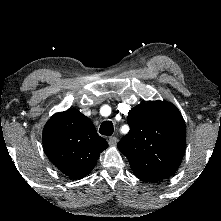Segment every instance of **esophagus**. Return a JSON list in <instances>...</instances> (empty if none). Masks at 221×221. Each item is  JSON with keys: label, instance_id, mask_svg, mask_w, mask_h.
Here are the masks:
<instances>
[{"label": "esophagus", "instance_id": "34e87169", "mask_svg": "<svg viewBox=\"0 0 221 221\" xmlns=\"http://www.w3.org/2000/svg\"><path fill=\"white\" fill-rule=\"evenodd\" d=\"M117 141H118L117 137L112 136V137L109 138V141H108V142H109V145H110V146H116Z\"/></svg>", "mask_w": 221, "mask_h": 221}]
</instances>
